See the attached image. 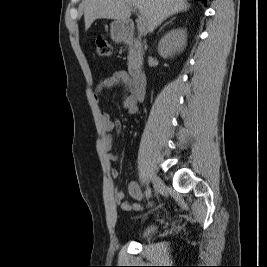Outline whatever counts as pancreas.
I'll use <instances>...</instances> for the list:
<instances>
[{"label": "pancreas", "instance_id": "pancreas-1", "mask_svg": "<svg viewBox=\"0 0 267 267\" xmlns=\"http://www.w3.org/2000/svg\"><path fill=\"white\" fill-rule=\"evenodd\" d=\"M126 43L129 46L128 72L132 74L142 64L143 49L137 39H128Z\"/></svg>", "mask_w": 267, "mask_h": 267}]
</instances>
